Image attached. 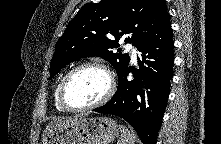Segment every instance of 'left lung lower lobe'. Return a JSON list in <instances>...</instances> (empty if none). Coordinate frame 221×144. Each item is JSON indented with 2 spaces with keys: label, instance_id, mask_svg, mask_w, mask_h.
Wrapping results in <instances>:
<instances>
[{
  "label": "left lung lower lobe",
  "instance_id": "1",
  "mask_svg": "<svg viewBox=\"0 0 221 144\" xmlns=\"http://www.w3.org/2000/svg\"><path fill=\"white\" fill-rule=\"evenodd\" d=\"M173 39L168 12L155 31L139 46V69L124 67L118 74V88L105 105L95 112L117 115L137 132L143 144H156L167 106L173 75ZM134 79L128 81V73Z\"/></svg>",
  "mask_w": 221,
  "mask_h": 144
}]
</instances>
